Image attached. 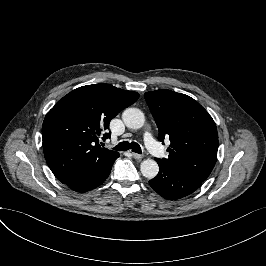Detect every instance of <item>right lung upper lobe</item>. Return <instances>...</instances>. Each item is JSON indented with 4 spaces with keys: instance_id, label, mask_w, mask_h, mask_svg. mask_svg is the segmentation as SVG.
<instances>
[{
    "instance_id": "right-lung-upper-lobe-1",
    "label": "right lung upper lobe",
    "mask_w": 266,
    "mask_h": 266,
    "mask_svg": "<svg viewBox=\"0 0 266 266\" xmlns=\"http://www.w3.org/2000/svg\"><path fill=\"white\" fill-rule=\"evenodd\" d=\"M138 98L137 92L96 84L79 87L55 104L44 119L42 137L45 159L60 182L67 184L84 169H99L119 157L97 146L98 136Z\"/></svg>"
}]
</instances>
